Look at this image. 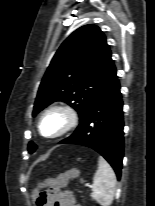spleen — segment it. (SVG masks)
<instances>
[{"label": "spleen", "instance_id": "1", "mask_svg": "<svg viewBox=\"0 0 155 206\" xmlns=\"http://www.w3.org/2000/svg\"><path fill=\"white\" fill-rule=\"evenodd\" d=\"M93 181L92 199L101 206L111 205L115 195L116 175L111 166L101 156L98 159V169L93 177Z\"/></svg>", "mask_w": 155, "mask_h": 206}]
</instances>
